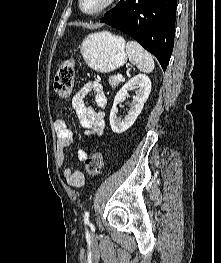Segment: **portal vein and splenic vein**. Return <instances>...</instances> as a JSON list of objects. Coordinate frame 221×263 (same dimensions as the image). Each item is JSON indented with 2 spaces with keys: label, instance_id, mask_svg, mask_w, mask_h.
<instances>
[{
  "label": "portal vein and splenic vein",
  "instance_id": "1",
  "mask_svg": "<svg viewBox=\"0 0 221 263\" xmlns=\"http://www.w3.org/2000/svg\"><path fill=\"white\" fill-rule=\"evenodd\" d=\"M117 78L122 79L123 78L122 74H117Z\"/></svg>",
  "mask_w": 221,
  "mask_h": 263
}]
</instances>
